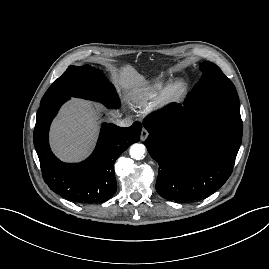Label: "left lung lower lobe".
Listing matches in <instances>:
<instances>
[{"instance_id":"0a47b994","label":"left lung lower lobe","mask_w":269,"mask_h":269,"mask_svg":"<svg viewBox=\"0 0 269 269\" xmlns=\"http://www.w3.org/2000/svg\"><path fill=\"white\" fill-rule=\"evenodd\" d=\"M159 164L156 190L165 199L193 202L217 191L232 173L242 139L240 106H176L143 122Z\"/></svg>"}]
</instances>
